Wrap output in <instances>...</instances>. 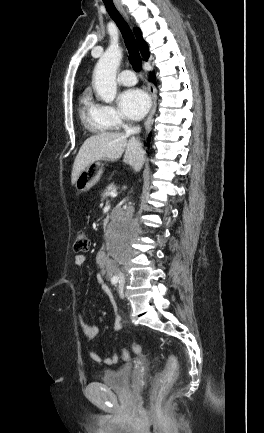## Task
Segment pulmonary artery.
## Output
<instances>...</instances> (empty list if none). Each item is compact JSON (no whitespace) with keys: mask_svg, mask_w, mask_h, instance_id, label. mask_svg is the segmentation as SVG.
Here are the masks:
<instances>
[{"mask_svg":"<svg viewBox=\"0 0 264 433\" xmlns=\"http://www.w3.org/2000/svg\"><path fill=\"white\" fill-rule=\"evenodd\" d=\"M118 83L124 86H132L136 84L137 79L134 72L130 69H124L118 76Z\"/></svg>","mask_w":264,"mask_h":433,"instance_id":"obj_1","label":"pulmonary artery"}]
</instances>
